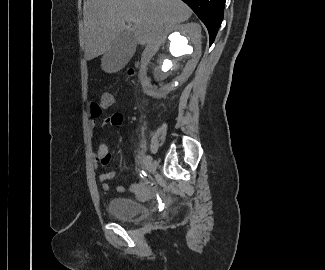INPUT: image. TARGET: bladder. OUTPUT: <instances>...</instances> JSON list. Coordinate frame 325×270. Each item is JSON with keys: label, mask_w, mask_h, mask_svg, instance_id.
<instances>
[{"label": "bladder", "mask_w": 325, "mask_h": 270, "mask_svg": "<svg viewBox=\"0 0 325 270\" xmlns=\"http://www.w3.org/2000/svg\"><path fill=\"white\" fill-rule=\"evenodd\" d=\"M107 207L113 217L124 221L145 219L148 213L144 204L127 197H113Z\"/></svg>", "instance_id": "bladder-1"}]
</instances>
